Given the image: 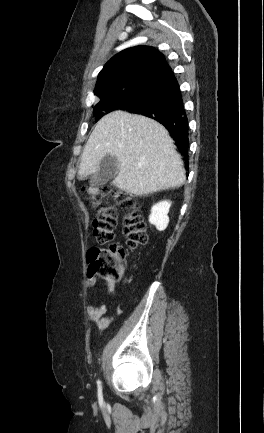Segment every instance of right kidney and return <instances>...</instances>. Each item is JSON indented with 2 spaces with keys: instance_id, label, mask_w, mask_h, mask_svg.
Here are the masks:
<instances>
[{
  "instance_id": "1",
  "label": "right kidney",
  "mask_w": 264,
  "mask_h": 433,
  "mask_svg": "<svg viewBox=\"0 0 264 433\" xmlns=\"http://www.w3.org/2000/svg\"><path fill=\"white\" fill-rule=\"evenodd\" d=\"M171 206V202L162 201L155 204L151 208V214L149 216V222L155 225L157 230L163 231L167 228L169 223L168 212Z\"/></svg>"
}]
</instances>
